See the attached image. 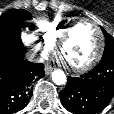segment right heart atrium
Instances as JSON below:
<instances>
[{"instance_id": "right-heart-atrium-1", "label": "right heart atrium", "mask_w": 114, "mask_h": 114, "mask_svg": "<svg viewBox=\"0 0 114 114\" xmlns=\"http://www.w3.org/2000/svg\"><path fill=\"white\" fill-rule=\"evenodd\" d=\"M22 40L25 45L36 51L40 55L46 54V48L41 45L35 36L29 32H23L22 33Z\"/></svg>"}]
</instances>
